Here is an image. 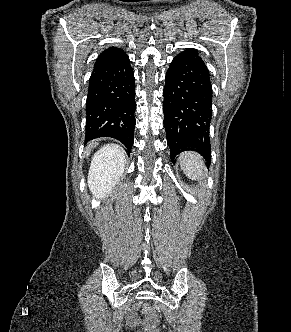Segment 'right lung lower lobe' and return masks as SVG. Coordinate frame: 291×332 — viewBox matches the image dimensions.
I'll return each mask as SVG.
<instances>
[{
	"instance_id": "1",
	"label": "right lung lower lobe",
	"mask_w": 291,
	"mask_h": 332,
	"mask_svg": "<svg viewBox=\"0 0 291 332\" xmlns=\"http://www.w3.org/2000/svg\"><path fill=\"white\" fill-rule=\"evenodd\" d=\"M134 81L128 56L94 66L86 102L85 142L110 136L131 150L136 110Z\"/></svg>"
}]
</instances>
